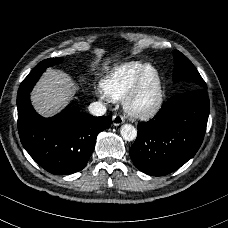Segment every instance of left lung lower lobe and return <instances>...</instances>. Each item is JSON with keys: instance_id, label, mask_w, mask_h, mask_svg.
Here are the masks:
<instances>
[{"instance_id": "obj_1", "label": "left lung lower lobe", "mask_w": 228, "mask_h": 228, "mask_svg": "<svg viewBox=\"0 0 228 228\" xmlns=\"http://www.w3.org/2000/svg\"><path fill=\"white\" fill-rule=\"evenodd\" d=\"M209 108V97L202 89L170 98L153 119L139 123L129 151L133 164L152 176L180 168L201 146Z\"/></svg>"}]
</instances>
